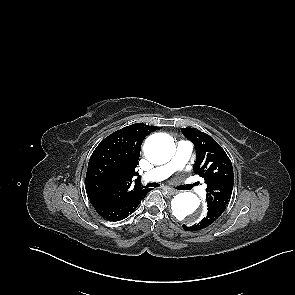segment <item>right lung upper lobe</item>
Wrapping results in <instances>:
<instances>
[{"label": "right lung upper lobe", "mask_w": 295, "mask_h": 295, "mask_svg": "<svg viewBox=\"0 0 295 295\" xmlns=\"http://www.w3.org/2000/svg\"><path fill=\"white\" fill-rule=\"evenodd\" d=\"M160 129L143 123L126 126L103 139L92 153L86 173V189L91 199L117 202L129 199L138 192L147 191L136 179L141 144L144 138ZM101 171L106 175L103 185L93 188L89 183L90 173Z\"/></svg>", "instance_id": "1"}]
</instances>
